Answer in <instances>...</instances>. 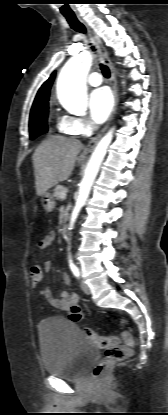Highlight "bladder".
Listing matches in <instances>:
<instances>
[{"mask_svg": "<svg viewBox=\"0 0 168 415\" xmlns=\"http://www.w3.org/2000/svg\"><path fill=\"white\" fill-rule=\"evenodd\" d=\"M40 346L45 371L63 379L79 378L98 356L75 322L60 316L41 322Z\"/></svg>", "mask_w": 168, "mask_h": 415, "instance_id": "31cf9c89", "label": "bladder"}]
</instances>
